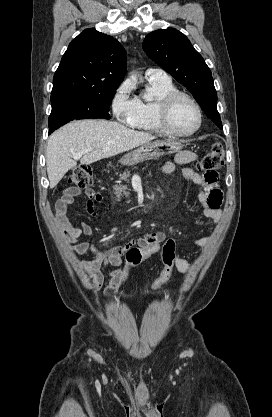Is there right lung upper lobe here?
<instances>
[{
	"instance_id": "right-lung-upper-lobe-1",
	"label": "right lung upper lobe",
	"mask_w": 272,
	"mask_h": 417,
	"mask_svg": "<svg viewBox=\"0 0 272 417\" xmlns=\"http://www.w3.org/2000/svg\"><path fill=\"white\" fill-rule=\"evenodd\" d=\"M126 72L121 44L95 29L71 41L53 78L51 94L107 91L117 88Z\"/></svg>"
}]
</instances>
